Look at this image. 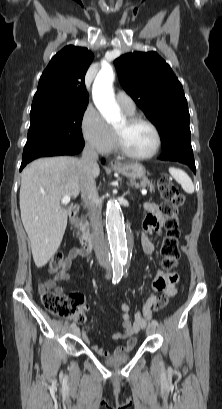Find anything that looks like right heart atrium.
I'll return each instance as SVG.
<instances>
[{
    "label": "right heart atrium",
    "mask_w": 222,
    "mask_h": 409,
    "mask_svg": "<svg viewBox=\"0 0 222 409\" xmlns=\"http://www.w3.org/2000/svg\"><path fill=\"white\" fill-rule=\"evenodd\" d=\"M80 127L88 145L103 154L111 151L115 143L114 133L93 105L85 108Z\"/></svg>",
    "instance_id": "d8ad5b80"
}]
</instances>
